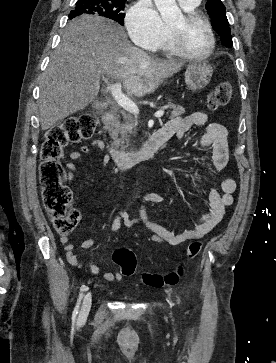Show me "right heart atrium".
Returning a JSON list of instances; mask_svg holds the SVG:
<instances>
[{
  "instance_id": "obj_1",
  "label": "right heart atrium",
  "mask_w": 276,
  "mask_h": 363,
  "mask_svg": "<svg viewBox=\"0 0 276 363\" xmlns=\"http://www.w3.org/2000/svg\"><path fill=\"white\" fill-rule=\"evenodd\" d=\"M126 26L133 41L148 50L158 49L168 33L151 0H138L128 10Z\"/></svg>"
}]
</instances>
